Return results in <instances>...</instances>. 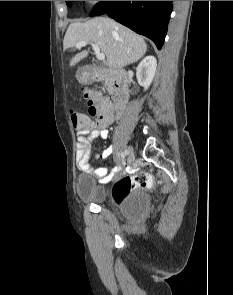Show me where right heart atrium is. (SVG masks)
Listing matches in <instances>:
<instances>
[{"label": "right heart atrium", "instance_id": "1", "mask_svg": "<svg viewBox=\"0 0 233 295\" xmlns=\"http://www.w3.org/2000/svg\"><path fill=\"white\" fill-rule=\"evenodd\" d=\"M100 1H87V3H89L90 5H95L97 3H99Z\"/></svg>", "mask_w": 233, "mask_h": 295}]
</instances>
